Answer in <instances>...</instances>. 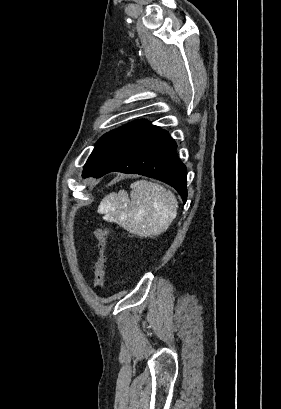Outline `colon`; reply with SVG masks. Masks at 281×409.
Masks as SVG:
<instances>
[{"label":"colon","mask_w":281,"mask_h":409,"mask_svg":"<svg viewBox=\"0 0 281 409\" xmlns=\"http://www.w3.org/2000/svg\"><path fill=\"white\" fill-rule=\"evenodd\" d=\"M94 234L98 246V258L95 266V286L97 290H100L105 283L108 230L105 226H98L95 228Z\"/></svg>","instance_id":"5ec220e1"}]
</instances>
